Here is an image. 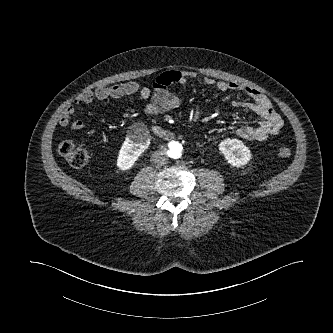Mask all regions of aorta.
Returning a JSON list of instances; mask_svg holds the SVG:
<instances>
[{"instance_id":"1","label":"aorta","mask_w":333,"mask_h":333,"mask_svg":"<svg viewBox=\"0 0 333 333\" xmlns=\"http://www.w3.org/2000/svg\"><path fill=\"white\" fill-rule=\"evenodd\" d=\"M172 151L174 153V156L176 158H179L181 156L182 150H183V144L179 141L173 142L171 145Z\"/></svg>"}]
</instances>
